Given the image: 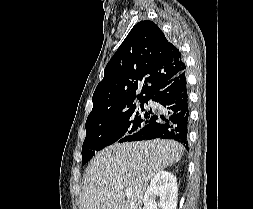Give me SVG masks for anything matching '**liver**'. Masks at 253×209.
<instances>
[{
  "label": "liver",
  "instance_id": "liver-1",
  "mask_svg": "<svg viewBox=\"0 0 253 209\" xmlns=\"http://www.w3.org/2000/svg\"><path fill=\"white\" fill-rule=\"evenodd\" d=\"M184 147L173 140L115 143L98 152L83 176L80 209H141L149 181L180 161ZM133 194L125 199L124 189Z\"/></svg>",
  "mask_w": 253,
  "mask_h": 209
}]
</instances>
